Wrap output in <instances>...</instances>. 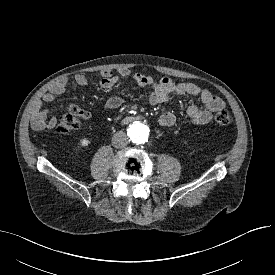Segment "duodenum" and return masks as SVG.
Segmentation results:
<instances>
[{"mask_svg": "<svg viewBox=\"0 0 275 275\" xmlns=\"http://www.w3.org/2000/svg\"><path fill=\"white\" fill-rule=\"evenodd\" d=\"M134 118L133 117H127V118H125V122H129V121H131V120H133Z\"/></svg>", "mask_w": 275, "mask_h": 275, "instance_id": "obj_1", "label": "duodenum"}]
</instances>
